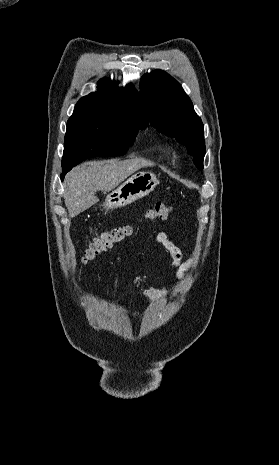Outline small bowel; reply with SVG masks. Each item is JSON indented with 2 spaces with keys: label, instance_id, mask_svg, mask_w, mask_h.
I'll return each instance as SVG.
<instances>
[{
  "label": "small bowel",
  "instance_id": "1",
  "mask_svg": "<svg viewBox=\"0 0 279 465\" xmlns=\"http://www.w3.org/2000/svg\"><path fill=\"white\" fill-rule=\"evenodd\" d=\"M157 241L169 252L176 268V277L178 279L182 278L192 266L194 258L189 256L184 259L181 249L168 238L165 232L158 233ZM139 295L147 302H151L166 296L167 290L165 288L143 287Z\"/></svg>",
  "mask_w": 279,
  "mask_h": 465
}]
</instances>
